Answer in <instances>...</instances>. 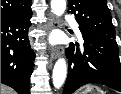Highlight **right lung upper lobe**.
<instances>
[{
    "label": "right lung upper lobe",
    "mask_w": 121,
    "mask_h": 94,
    "mask_svg": "<svg viewBox=\"0 0 121 94\" xmlns=\"http://www.w3.org/2000/svg\"><path fill=\"white\" fill-rule=\"evenodd\" d=\"M31 8V0H1V18L22 13Z\"/></svg>",
    "instance_id": "obj_1"
}]
</instances>
